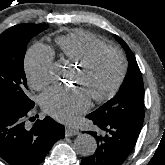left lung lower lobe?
<instances>
[{"label":"left lung lower lobe","mask_w":165,"mask_h":165,"mask_svg":"<svg viewBox=\"0 0 165 165\" xmlns=\"http://www.w3.org/2000/svg\"><path fill=\"white\" fill-rule=\"evenodd\" d=\"M87 118L96 126V132L89 133L95 137L97 149L94 155L84 158L81 165H122L133 150L141 127Z\"/></svg>","instance_id":"left-lung-lower-lobe-1"}]
</instances>
